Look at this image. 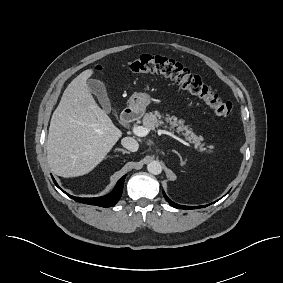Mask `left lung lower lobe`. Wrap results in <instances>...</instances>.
Here are the masks:
<instances>
[{"mask_svg":"<svg viewBox=\"0 0 283 283\" xmlns=\"http://www.w3.org/2000/svg\"><path fill=\"white\" fill-rule=\"evenodd\" d=\"M163 195L165 197V199L170 203V205H172L173 207L175 208H178V209H186V210H189V209H195V208H202V207H206L207 205L205 206H183V205H179V204H176L174 203L173 201H171L167 196L166 194L163 192Z\"/></svg>","mask_w":283,"mask_h":283,"instance_id":"obj_1","label":"left lung lower lobe"}]
</instances>
